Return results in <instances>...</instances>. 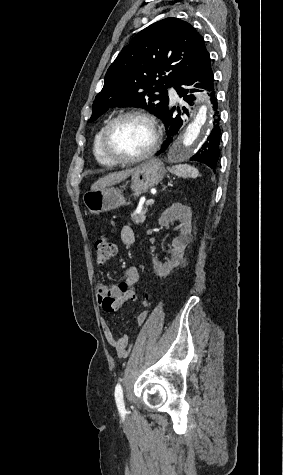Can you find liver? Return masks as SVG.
<instances>
[{
    "instance_id": "obj_1",
    "label": "liver",
    "mask_w": 283,
    "mask_h": 475,
    "mask_svg": "<svg viewBox=\"0 0 283 475\" xmlns=\"http://www.w3.org/2000/svg\"><path fill=\"white\" fill-rule=\"evenodd\" d=\"M132 172H134V168H132V170H123V172H113V174H108V176L100 178L98 182H95V184L91 186V192H98V190H103V188H108V186L119 184V182L126 180Z\"/></svg>"
}]
</instances>
